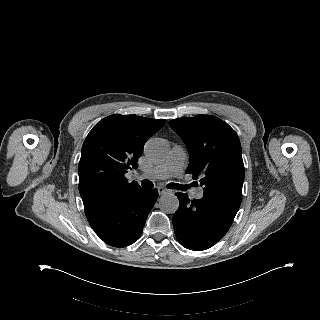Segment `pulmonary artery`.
Instances as JSON below:
<instances>
[{
    "mask_svg": "<svg viewBox=\"0 0 320 320\" xmlns=\"http://www.w3.org/2000/svg\"><path fill=\"white\" fill-rule=\"evenodd\" d=\"M186 158L185 150L181 146H174L163 163L153 167L148 172L142 174V176L152 180H162L171 176H179L185 166ZM193 195L196 199H201L203 197V190L197 188L193 191Z\"/></svg>",
    "mask_w": 320,
    "mask_h": 320,
    "instance_id": "1",
    "label": "pulmonary artery"
}]
</instances>
